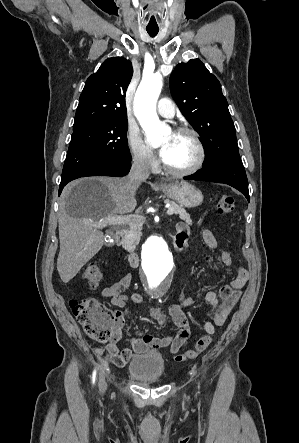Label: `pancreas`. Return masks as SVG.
<instances>
[{"label": "pancreas", "mask_w": 299, "mask_h": 443, "mask_svg": "<svg viewBox=\"0 0 299 443\" xmlns=\"http://www.w3.org/2000/svg\"><path fill=\"white\" fill-rule=\"evenodd\" d=\"M165 203L169 204V208L172 209L175 214H179L180 219L186 221L188 224H192L190 215L182 206H179L175 202L168 199L165 200ZM144 222V218H138L132 223L128 224V227L124 230L122 236V245L126 250L133 251L139 244L142 235L141 230Z\"/></svg>", "instance_id": "1"}]
</instances>
